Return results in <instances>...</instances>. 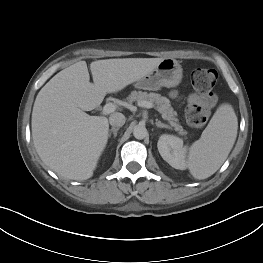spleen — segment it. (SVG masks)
<instances>
[{
	"label": "spleen",
	"mask_w": 263,
	"mask_h": 263,
	"mask_svg": "<svg viewBox=\"0 0 263 263\" xmlns=\"http://www.w3.org/2000/svg\"><path fill=\"white\" fill-rule=\"evenodd\" d=\"M237 128L233 107L220 105L201 138L190 147L187 166L194 178L206 179L221 167L236 140Z\"/></svg>",
	"instance_id": "obj_1"
}]
</instances>
